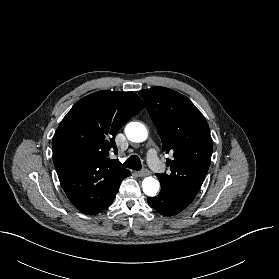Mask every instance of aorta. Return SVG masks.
Instances as JSON below:
<instances>
[{"label": "aorta", "mask_w": 279, "mask_h": 279, "mask_svg": "<svg viewBox=\"0 0 279 279\" xmlns=\"http://www.w3.org/2000/svg\"><path fill=\"white\" fill-rule=\"evenodd\" d=\"M126 137L132 142H144L148 137L146 127L139 122H130L125 127ZM159 182L152 178L146 177L142 181L143 192L148 196H155L159 190Z\"/></svg>", "instance_id": "aorta-1"}]
</instances>
